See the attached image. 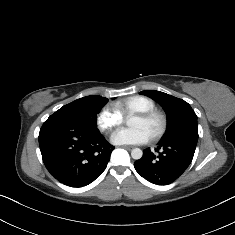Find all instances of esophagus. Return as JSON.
Masks as SVG:
<instances>
[{
    "label": "esophagus",
    "instance_id": "1",
    "mask_svg": "<svg viewBox=\"0 0 235 235\" xmlns=\"http://www.w3.org/2000/svg\"><path fill=\"white\" fill-rule=\"evenodd\" d=\"M120 147L124 148V149H127V150H131V149L134 148L133 146H130V145H121Z\"/></svg>",
    "mask_w": 235,
    "mask_h": 235
}]
</instances>
